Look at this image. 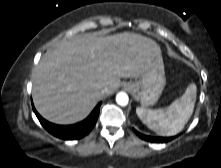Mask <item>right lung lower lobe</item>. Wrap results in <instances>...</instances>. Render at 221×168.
<instances>
[{"label": "right lung lower lobe", "instance_id": "1", "mask_svg": "<svg viewBox=\"0 0 221 168\" xmlns=\"http://www.w3.org/2000/svg\"><path fill=\"white\" fill-rule=\"evenodd\" d=\"M101 103H99L94 110L91 112V114L82 122H79L74 125H56L53 123H50L43 119L35 110L33 106V110L39 119L42 126L52 135L55 137L64 139V140H76L84 137L87 135L95 126L98 115H99V109H100Z\"/></svg>", "mask_w": 221, "mask_h": 168}]
</instances>
